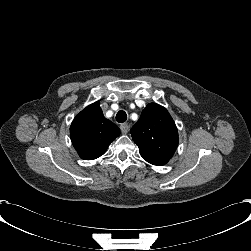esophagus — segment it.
<instances>
[{"instance_id": "34e87169", "label": "esophagus", "mask_w": 251, "mask_h": 251, "mask_svg": "<svg viewBox=\"0 0 251 251\" xmlns=\"http://www.w3.org/2000/svg\"><path fill=\"white\" fill-rule=\"evenodd\" d=\"M120 130H121V132H122L123 134H126V133L128 132V130H129V125H128V123H122V124L120 125Z\"/></svg>"}]
</instances>
